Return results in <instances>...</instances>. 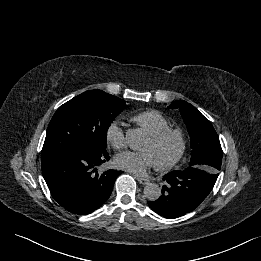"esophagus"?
<instances>
[{"label":"esophagus","mask_w":261,"mask_h":261,"mask_svg":"<svg viewBox=\"0 0 261 261\" xmlns=\"http://www.w3.org/2000/svg\"><path fill=\"white\" fill-rule=\"evenodd\" d=\"M135 178L138 180L139 183H141L143 185H145L149 182V180L147 178H143V177H139V176H136Z\"/></svg>","instance_id":"1"}]
</instances>
